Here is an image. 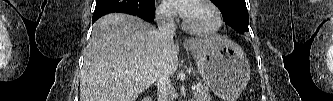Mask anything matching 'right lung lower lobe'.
Instances as JSON below:
<instances>
[{"label":"right lung lower lobe","instance_id":"right-lung-lower-lobe-1","mask_svg":"<svg viewBox=\"0 0 333 101\" xmlns=\"http://www.w3.org/2000/svg\"><path fill=\"white\" fill-rule=\"evenodd\" d=\"M121 12L136 15L151 22L155 15L154 0H96V7L92 17L94 23L101 16Z\"/></svg>","mask_w":333,"mask_h":101}]
</instances>
